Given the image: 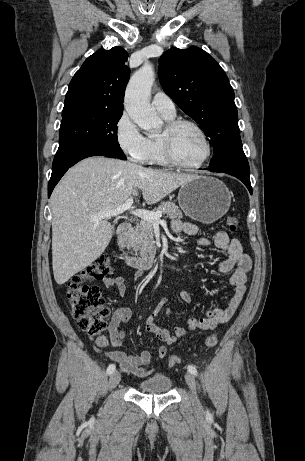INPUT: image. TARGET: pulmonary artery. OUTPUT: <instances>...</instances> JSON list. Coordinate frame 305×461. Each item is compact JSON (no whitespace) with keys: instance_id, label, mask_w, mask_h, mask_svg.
Returning <instances> with one entry per match:
<instances>
[{"instance_id":"1","label":"pulmonary artery","mask_w":305,"mask_h":461,"mask_svg":"<svg viewBox=\"0 0 305 461\" xmlns=\"http://www.w3.org/2000/svg\"><path fill=\"white\" fill-rule=\"evenodd\" d=\"M152 105L163 116L174 117L176 114L174 102L162 91H158L153 95Z\"/></svg>"}]
</instances>
